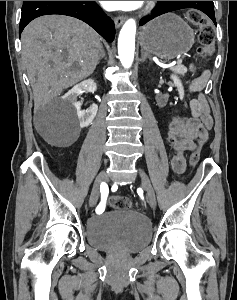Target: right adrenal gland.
I'll use <instances>...</instances> for the list:
<instances>
[{
    "instance_id": "2a0ac1e0",
    "label": "right adrenal gland",
    "mask_w": 237,
    "mask_h": 300,
    "mask_svg": "<svg viewBox=\"0 0 237 300\" xmlns=\"http://www.w3.org/2000/svg\"><path fill=\"white\" fill-rule=\"evenodd\" d=\"M103 57H105V51L103 49V45H100L98 63H100V61H101V59H103Z\"/></svg>"
}]
</instances>
